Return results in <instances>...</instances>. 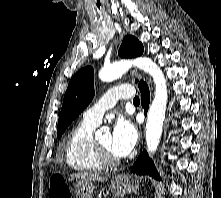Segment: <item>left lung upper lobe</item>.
Instances as JSON below:
<instances>
[{"instance_id":"obj_1","label":"left lung upper lobe","mask_w":221,"mask_h":198,"mask_svg":"<svg viewBox=\"0 0 221 198\" xmlns=\"http://www.w3.org/2000/svg\"><path fill=\"white\" fill-rule=\"evenodd\" d=\"M143 45L133 36L127 35L119 49V56L132 58L142 55ZM94 71L91 67H86L78 71L70 80L64 95L61 108L57 138H61L63 132L69 124L87 107L94 96ZM143 81L139 82V86Z\"/></svg>"}]
</instances>
